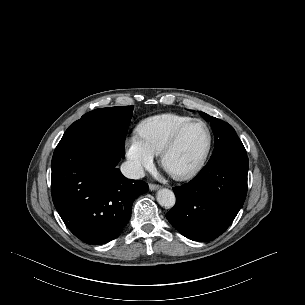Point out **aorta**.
<instances>
[{
  "instance_id": "762f6f07",
  "label": "aorta",
  "mask_w": 305,
  "mask_h": 305,
  "mask_svg": "<svg viewBox=\"0 0 305 305\" xmlns=\"http://www.w3.org/2000/svg\"><path fill=\"white\" fill-rule=\"evenodd\" d=\"M158 203L165 208H172L175 205L176 198L174 193L166 188L160 189L157 192Z\"/></svg>"
}]
</instances>
